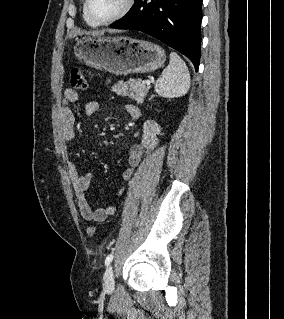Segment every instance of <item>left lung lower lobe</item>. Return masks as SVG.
Here are the masks:
<instances>
[{"mask_svg":"<svg viewBox=\"0 0 284 319\" xmlns=\"http://www.w3.org/2000/svg\"><path fill=\"white\" fill-rule=\"evenodd\" d=\"M202 0H136L111 28L147 33L188 57L196 71L200 63Z\"/></svg>","mask_w":284,"mask_h":319,"instance_id":"0a47b994","label":"left lung lower lobe"}]
</instances>
